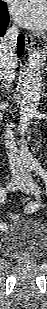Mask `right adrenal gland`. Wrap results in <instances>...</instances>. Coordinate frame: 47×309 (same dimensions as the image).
I'll use <instances>...</instances> for the list:
<instances>
[{
  "instance_id": "obj_1",
  "label": "right adrenal gland",
  "mask_w": 47,
  "mask_h": 309,
  "mask_svg": "<svg viewBox=\"0 0 47 309\" xmlns=\"http://www.w3.org/2000/svg\"><path fill=\"white\" fill-rule=\"evenodd\" d=\"M0 89L8 90L9 89V85L7 83L1 82Z\"/></svg>"
}]
</instances>
